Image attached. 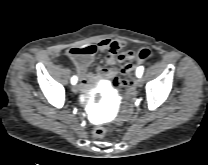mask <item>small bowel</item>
<instances>
[{
  "instance_id": "1",
  "label": "small bowel",
  "mask_w": 208,
  "mask_h": 165,
  "mask_svg": "<svg viewBox=\"0 0 208 165\" xmlns=\"http://www.w3.org/2000/svg\"><path fill=\"white\" fill-rule=\"evenodd\" d=\"M124 46V43L121 41L112 40L105 38L97 44H88L82 48L86 51L84 54L72 55L69 54V59L73 62L76 67L77 74L80 80V89L82 91L87 90L92 85L98 84L103 80H111L110 82V91L107 94V101L109 103H116L119 99V96L124 92L122 87L123 81L118 74L116 68H98L96 73L89 71V66L94 55L97 51L106 52V62L109 65L114 64L116 61L125 62L130 61L132 56H135L134 52L126 51L119 53V50Z\"/></svg>"
}]
</instances>
